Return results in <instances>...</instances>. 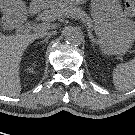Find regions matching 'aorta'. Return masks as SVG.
I'll list each match as a JSON object with an SVG mask.
<instances>
[{
  "instance_id": "aorta-1",
  "label": "aorta",
  "mask_w": 135,
  "mask_h": 135,
  "mask_svg": "<svg viewBox=\"0 0 135 135\" xmlns=\"http://www.w3.org/2000/svg\"><path fill=\"white\" fill-rule=\"evenodd\" d=\"M84 40L82 31L77 27H68L65 30V41L67 44L72 46H79Z\"/></svg>"
}]
</instances>
